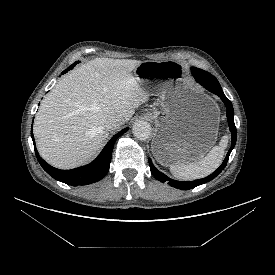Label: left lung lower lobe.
Returning <instances> with one entry per match:
<instances>
[{"label":"left lung lower lobe","instance_id":"0a47b994","mask_svg":"<svg viewBox=\"0 0 275 275\" xmlns=\"http://www.w3.org/2000/svg\"><path fill=\"white\" fill-rule=\"evenodd\" d=\"M191 71H192V74H193L195 80L198 83H200L202 86H204L210 92L218 95L221 98V100L223 101V103L225 104V106L227 108V118H228L229 128L231 131L232 141H231V147L226 155V158L224 159V161L220 165V167L216 171H214L211 175H209L205 178H202V179L194 180V181L183 182V181L172 180L165 174L158 171L155 168V166L153 165L151 159H149L150 170L157 180H159L163 183L167 182L170 186L177 188V189H182V190H188V189L195 188L201 184L211 181L216 176H218L222 172V170L225 168V166L227 165L229 155L236 144V137H237L236 126L234 123V110H233L232 103L223 93L221 86H217V84L215 83L216 78L213 75H211L210 73L203 71L201 69L195 68V67H192Z\"/></svg>","mask_w":275,"mask_h":275}]
</instances>
